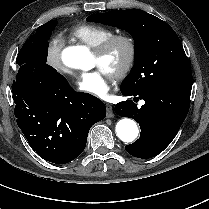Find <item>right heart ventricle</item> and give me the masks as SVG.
Here are the masks:
<instances>
[{
	"label": "right heart ventricle",
	"mask_w": 209,
	"mask_h": 209,
	"mask_svg": "<svg viewBox=\"0 0 209 209\" xmlns=\"http://www.w3.org/2000/svg\"><path fill=\"white\" fill-rule=\"evenodd\" d=\"M69 35L95 49L109 37L114 35V32L105 26L83 23L71 29Z\"/></svg>",
	"instance_id": "obj_1"
}]
</instances>
